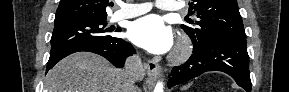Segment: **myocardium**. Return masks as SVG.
<instances>
[{
    "instance_id": "myocardium-1",
    "label": "myocardium",
    "mask_w": 289,
    "mask_h": 92,
    "mask_svg": "<svg viewBox=\"0 0 289 92\" xmlns=\"http://www.w3.org/2000/svg\"><path fill=\"white\" fill-rule=\"evenodd\" d=\"M192 52V45L190 40L183 36L175 47L171 60L175 63H180L185 61Z\"/></svg>"
}]
</instances>
